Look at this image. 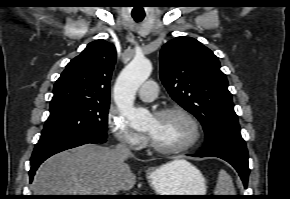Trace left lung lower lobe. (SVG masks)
<instances>
[{
	"label": "left lung lower lobe",
	"instance_id": "left-lung-lower-lobe-1",
	"mask_svg": "<svg viewBox=\"0 0 290 199\" xmlns=\"http://www.w3.org/2000/svg\"><path fill=\"white\" fill-rule=\"evenodd\" d=\"M198 156H213L224 159L236 169L243 181L244 187H247L249 175L248 151L245 141L241 136H223L214 143L205 145Z\"/></svg>",
	"mask_w": 290,
	"mask_h": 199
}]
</instances>
